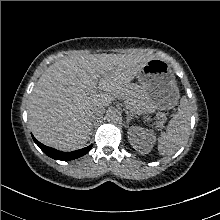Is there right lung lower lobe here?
<instances>
[{"instance_id": "98d812e1", "label": "right lung lower lobe", "mask_w": 220, "mask_h": 220, "mask_svg": "<svg viewBox=\"0 0 220 220\" xmlns=\"http://www.w3.org/2000/svg\"><path fill=\"white\" fill-rule=\"evenodd\" d=\"M32 137H33L34 142L40 147V149L46 155H48L49 157H51L53 159H56V160H62V161L73 160V159L79 158V157L87 154L90 151V149L92 148V145H90L86 148H83V149H80V150H77V151H73V152H60L56 149H53L51 147H47V146L43 145L42 143L37 141L34 138V136H32Z\"/></svg>"}]
</instances>
